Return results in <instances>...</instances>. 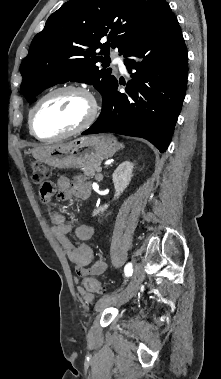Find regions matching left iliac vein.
<instances>
[{
  "label": "left iliac vein",
  "mask_w": 221,
  "mask_h": 379,
  "mask_svg": "<svg viewBox=\"0 0 221 379\" xmlns=\"http://www.w3.org/2000/svg\"><path fill=\"white\" fill-rule=\"evenodd\" d=\"M144 270L142 264L138 263L135 266L129 285L120 293L112 296H106L99 299L95 305L96 311H102L109 306L122 305L128 302L135 294L140 284L144 280Z\"/></svg>",
  "instance_id": "obj_1"
}]
</instances>
